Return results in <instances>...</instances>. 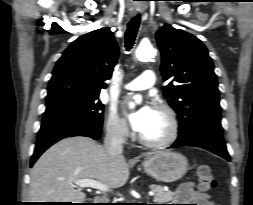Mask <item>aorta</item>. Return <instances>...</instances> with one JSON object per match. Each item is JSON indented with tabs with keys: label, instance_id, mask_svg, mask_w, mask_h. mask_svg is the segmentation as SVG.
Listing matches in <instances>:
<instances>
[{
	"label": "aorta",
	"instance_id": "1",
	"mask_svg": "<svg viewBox=\"0 0 253 205\" xmlns=\"http://www.w3.org/2000/svg\"><path fill=\"white\" fill-rule=\"evenodd\" d=\"M135 56L140 61H150L155 56V49L152 45H139L135 51ZM140 96L136 97L140 102Z\"/></svg>",
	"mask_w": 253,
	"mask_h": 205
}]
</instances>
